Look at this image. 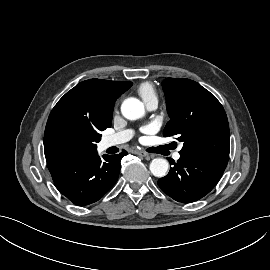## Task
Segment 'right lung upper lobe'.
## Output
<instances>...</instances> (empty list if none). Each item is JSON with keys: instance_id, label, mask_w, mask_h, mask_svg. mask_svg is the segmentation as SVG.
<instances>
[{"instance_id": "1", "label": "right lung upper lobe", "mask_w": 270, "mask_h": 270, "mask_svg": "<svg viewBox=\"0 0 270 270\" xmlns=\"http://www.w3.org/2000/svg\"><path fill=\"white\" fill-rule=\"evenodd\" d=\"M131 86V82L89 79L68 91L52 109L46 124L44 153L47 162L60 157L50 144L58 125L70 122L105 130L111 126L115 100Z\"/></svg>"}]
</instances>
